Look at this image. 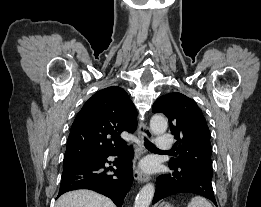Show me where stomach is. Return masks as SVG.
Segmentation results:
<instances>
[{"instance_id": "0dacf381", "label": "stomach", "mask_w": 261, "mask_h": 207, "mask_svg": "<svg viewBox=\"0 0 261 207\" xmlns=\"http://www.w3.org/2000/svg\"><path fill=\"white\" fill-rule=\"evenodd\" d=\"M159 207H173L172 205H170L169 203L167 202H163L159 205Z\"/></svg>"}]
</instances>
